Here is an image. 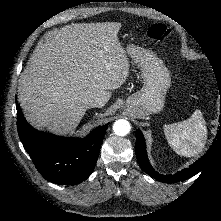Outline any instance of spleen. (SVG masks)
<instances>
[{"instance_id": "spleen-1", "label": "spleen", "mask_w": 221, "mask_h": 221, "mask_svg": "<svg viewBox=\"0 0 221 221\" xmlns=\"http://www.w3.org/2000/svg\"><path fill=\"white\" fill-rule=\"evenodd\" d=\"M164 133L173 150L186 157L198 155L207 139L206 122L200 110L194 111L187 120L165 125Z\"/></svg>"}]
</instances>
